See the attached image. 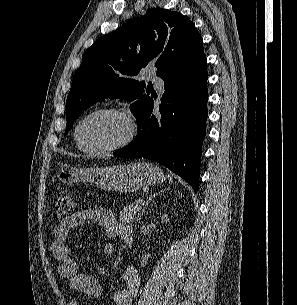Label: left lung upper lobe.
<instances>
[{"instance_id": "5c2ea615", "label": "left lung upper lobe", "mask_w": 297, "mask_h": 305, "mask_svg": "<svg viewBox=\"0 0 297 305\" xmlns=\"http://www.w3.org/2000/svg\"><path fill=\"white\" fill-rule=\"evenodd\" d=\"M155 64L162 79L178 69H207L203 41L194 24L179 12L150 9L98 39L83 56L66 101V131L89 106L105 98L135 101L139 119L151 98L145 83L129 76Z\"/></svg>"}]
</instances>
